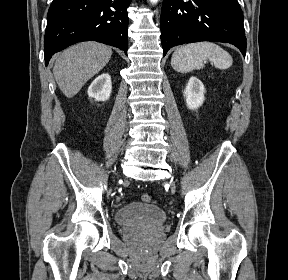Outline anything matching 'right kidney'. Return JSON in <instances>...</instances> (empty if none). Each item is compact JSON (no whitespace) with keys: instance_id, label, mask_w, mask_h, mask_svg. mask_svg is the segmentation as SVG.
<instances>
[{"instance_id":"ca27d5eb","label":"right kidney","mask_w":288,"mask_h":280,"mask_svg":"<svg viewBox=\"0 0 288 280\" xmlns=\"http://www.w3.org/2000/svg\"><path fill=\"white\" fill-rule=\"evenodd\" d=\"M112 90L111 77L107 73L99 75L89 86L88 96L96 101L109 99Z\"/></svg>"}]
</instances>
